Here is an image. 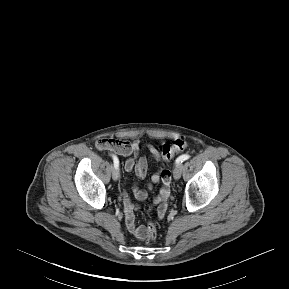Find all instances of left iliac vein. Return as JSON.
I'll use <instances>...</instances> for the list:
<instances>
[{
  "label": "left iliac vein",
  "instance_id": "obj_1",
  "mask_svg": "<svg viewBox=\"0 0 289 289\" xmlns=\"http://www.w3.org/2000/svg\"><path fill=\"white\" fill-rule=\"evenodd\" d=\"M182 169H183V165L182 164H178L176 165L174 171H173V177L175 180L180 179L181 174H182Z\"/></svg>",
  "mask_w": 289,
  "mask_h": 289
}]
</instances>
